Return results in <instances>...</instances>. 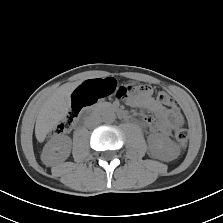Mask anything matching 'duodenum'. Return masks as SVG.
<instances>
[{
  "mask_svg": "<svg viewBox=\"0 0 223 223\" xmlns=\"http://www.w3.org/2000/svg\"><path fill=\"white\" fill-rule=\"evenodd\" d=\"M114 111L115 113H117L120 117H126V113L123 109H121L118 105L116 104H111V105H101L99 107L96 108V111ZM90 118V116L85 117L81 120H79V122L77 123V127L82 126L86 121H88V119Z\"/></svg>",
  "mask_w": 223,
  "mask_h": 223,
  "instance_id": "duodenum-1",
  "label": "duodenum"
}]
</instances>
